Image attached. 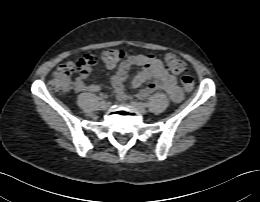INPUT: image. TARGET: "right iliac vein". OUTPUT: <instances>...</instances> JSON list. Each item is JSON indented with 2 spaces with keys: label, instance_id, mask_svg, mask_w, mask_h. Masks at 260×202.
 Here are the masks:
<instances>
[{
  "label": "right iliac vein",
  "instance_id": "1",
  "mask_svg": "<svg viewBox=\"0 0 260 202\" xmlns=\"http://www.w3.org/2000/svg\"><path fill=\"white\" fill-rule=\"evenodd\" d=\"M100 108L102 110H106L108 108V103L106 101H101L100 102Z\"/></svg>",
  "mask_w": 260,
  "mask_h": 202
}]
</instances>
